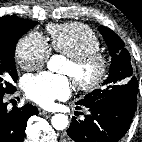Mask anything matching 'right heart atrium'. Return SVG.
<instances>
[{"instance_id":"1","label":"right heart atrium","mask_w":142,"mask_h":142,"mask_svg":"<svg viewBox=\"0 0 142 142\" xmlns=\"http://www.w3.org/2000/svg\"><path fill=\"white\" fill-rule=\"evenodd\" d=\"M49 54V45L38 32H29L18 41L15 47L16 62L25 71L41 67Z\"/></svg>"}]
</instances>
